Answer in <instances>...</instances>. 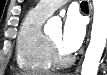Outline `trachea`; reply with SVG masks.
Returning a JSON list of instances; mask_svg holds the SVG:
<instances>
[{
    "label": "trachea",
    "mask_w": 107,
    "mask_h": 75,
    "mask_svg": "<svg viewBox=\"0 0 107 75\" xmlns=\"http://www.w3.org/2000/svg\"><path fill=\"white\" fill-rule=\"evenodd\" d=\"M81 8H82V9H88V3H87L86 1H83V2L81 3Z\"/></svg>",
    "instance_id": "3493384b"
}]
</instances>
